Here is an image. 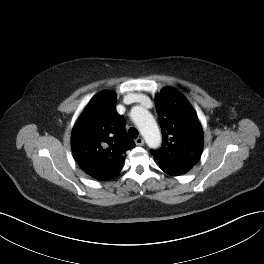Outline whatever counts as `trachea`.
I'll return each mask as SVG.
<instances>
[{
    "instance_id": "1",
    "label": "trachea",
    "mask_w": 264,
    "mask_h": 264,
    "mask_svg": "<svg viewBox=\"0 0 264 264\" xmlns=\"http://www.w3.org/2000/svg\"><path fill=\"white\" fill-rule=\"evenodd\" d=\"M128 134L131 138H137L138 135H139V132L136 128L134 127H130L129 130H128Z\"/></svg>"
}]
</instances>
